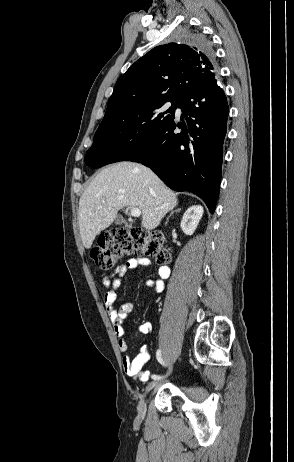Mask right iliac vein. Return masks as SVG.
<instances>
[{"mask_svg":"<svg viewBox=\"0 0 294 462\" xmlns=\"http://www.w3.org/2000/svg\"><path fill=\"white\" fill-rule=\"evenodd\" d=\"M172 371V366L170 367V372ZM158 384V381H152L150 382L146 389H145V392L143 393V395L140 397V400H139V403H138V407H137V410H138V416L139 418H142L144 417L145 415V412H146V405H145V396L146 394L151 391L156 385Z\"/></svg>","mask_w":294,"mask_h":462,"instance_id":"63e3f726","label":"right iliac vein"}]
</instances>
